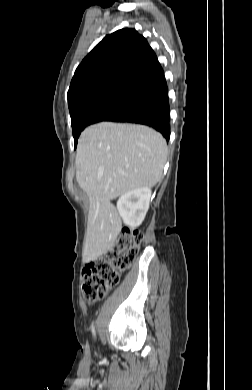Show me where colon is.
I'll return each mask as SVG.
<instances>
[{"label":"colon","mask_w":252,"mask_h":390,"mask_svg":"<svg viewBox=\"0 0 252 390\" xmlns=\"http://www.w3.org/2000/svg\"><path fill=\"white\" fill-rule=\"evenodd\" d=\"M142 238L140 231L123 233L105 257L84 267L83 290L89 303L99 301L118 284L120 272L134 263Z\"/></svg>","instance_id":"obj_1"}]
</instances>
